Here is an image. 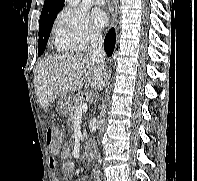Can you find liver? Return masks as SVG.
Segmentation results:
<instances>
[{
	"mask_svg": "<svg viewBox=\"0 0 197 181\" xmlns=\"http://www.w3.org/2000/svg\"><path fill=\"white\" fill-rule=\"evenodd\" d=\"M105 68L94 64L88 55L56 54L42 59L35 68L37 102L47 109L58 97L83 87L99 90L106 85Z\"/></svg>",
	"mask_w": 197,
	"mask_h": 181,
	"instance_id": "liver-1",
	"label": "liver"
}]
</instances>
